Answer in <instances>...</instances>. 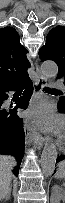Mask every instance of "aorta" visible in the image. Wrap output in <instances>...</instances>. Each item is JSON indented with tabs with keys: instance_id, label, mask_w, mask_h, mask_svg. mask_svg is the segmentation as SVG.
Instances as JSON below:
<instances>
[{
	"instance_id": "762f6f07",
	"label": "aorta",
	"mask_w": 65,
	"mask_h": 203,
	"mask_svg": "<svg viewBox=\"0 0 65 203\" xmlns=\"http://www.w3.org/2000/svg\"><path fill=\"white\" fill-rule=\"evenodd\" d=\"M41 72L45 78H54L58 73V66L53 61H45L41 65ZM56 159V145L50 140V138H47L40 159V165L44 175L51 176L54 173Z\"/></svg>"
}]
</instances>
